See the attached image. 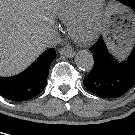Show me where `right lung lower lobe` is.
Listing matches in <instances>:
<instances>
[{"mask_svg": "<svg viewBox=\"0 0 135 135\" xmlns=\"http://www.w3.org/2000/svg\"><path fill=\"white\" fill-rule=\"evenodd\" d=\"M55 49H48L25 73L16 77H0V95L8 100L27 101L43 91Z\"/></svg>", "mask_w": 135, "mask_h": 135, "instance_id": "obj_1", "label": "right lung lower lobe"}]
</instances>
